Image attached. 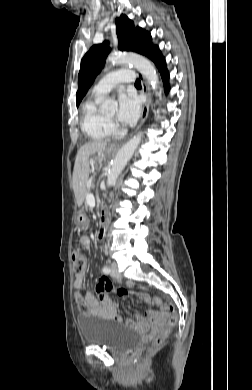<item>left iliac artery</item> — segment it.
I'll return each mask as SVG.
<instances>
[{"label":"left iliac artery","instance_id":"left-iliac-artery-1","mask_svg":"<svg viewBox=\"0 0 252 390\" xmlns=\"http://www.w3.org/2000/svg\"><path fill=\"white\" fill-rule=\"evenodd\" d=\"M103 272H104L105 274L110 273V268L107 267V266H105V267L103 268Z\"/></svg>","mask_w":252,"mask_h":390}]
</instances>
